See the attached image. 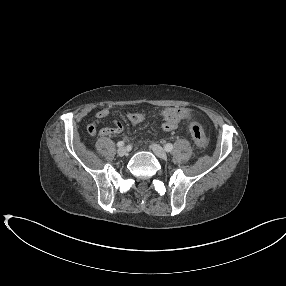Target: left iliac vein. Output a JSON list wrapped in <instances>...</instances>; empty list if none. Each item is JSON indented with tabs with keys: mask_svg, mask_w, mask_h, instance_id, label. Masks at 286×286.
<instances>
[{
	"mask_svg": "<svg viewBox=\"0 0 286 286\" xmlns=\"http://www.w3.org/2000/svg\"><path fill=\"white\" fill-rule=\"evenodd\" d=\"M152 151L155 153V155L161 159H166L167 158V153L166 151L158 144L153 143L151 145Z\"/></svg>",
	"mask_w": 286,
	"mask_h": 286,
	"instance_id": "obj_1",
	"label": "left iliac vein"
}]
</instances>
